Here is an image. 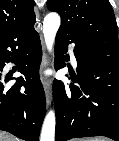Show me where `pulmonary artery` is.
Segmentation results:
<instances>
[{
    "mask_svg": "<svg viewBox=\"0 0 119 141\" xmlns=\"http://www.w3.org/2000/svg\"><path fill=\"white\" fill-rule=\"evenodd\" d=\"M69 53H70V58H71V61H72L73 65L76 66V64H77L76 57L74 55V52H73V49L72 48H70Z\"/></svg>",
    "mask_w": 119,
    "mask_h": 141,
    "instance_id": "pulmonary-artery-1",
    "label": "pulmonary artery"
}]
</instances>
